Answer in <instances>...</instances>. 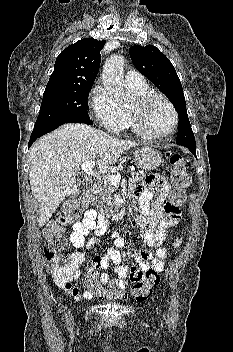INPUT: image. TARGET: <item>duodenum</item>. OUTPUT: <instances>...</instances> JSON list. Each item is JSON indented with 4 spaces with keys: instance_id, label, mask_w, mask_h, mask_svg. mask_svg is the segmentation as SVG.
<instances>
[{
    "instance_id": "duodenum-1",
    "label": "duodenum",
    "mask_w": 233,
    "mask_h": 352,
    "mask_svg": "<svg viewBox=\"0 0 233 352\" xmlns=\"http://www.w3.org/2000/svg\"><path fill=\"white\" fill-rule=\"evenodd\" d=\"M100 189V185L99 184H95L93 187H92V193L93 194H96Z\"/></svg>"
}]
</instances>
